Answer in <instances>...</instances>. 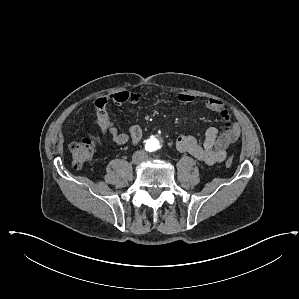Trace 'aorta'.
<instances>
[{"mask_svg":"<svg viewBox=\"0 0 299 299\" xmlns=\"http://www.w3.org/2000/svg\"><path fill=\"white\" fill-rule=\"evenodd\" d=\"M145 147L149 152H156L161 147V139L159 136H151L146 140Z\"/></svg>","mask_w":299,"mask_h":299,"instance_id":"1","label":"aorta"}]
</instances>
